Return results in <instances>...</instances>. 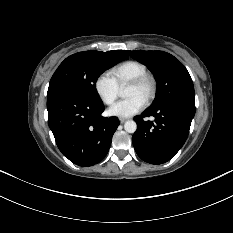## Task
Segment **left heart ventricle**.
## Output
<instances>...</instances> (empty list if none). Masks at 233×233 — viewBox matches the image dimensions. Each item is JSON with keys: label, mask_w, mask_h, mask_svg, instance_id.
<instances>
[{"label": "left heart ventricle", "mask_w": 233, "mask_h": 233, "mask_svg": "<svg viewBox=\"0 0 233 233\" xmlns=\"http://www.w3.org/2000/svg\"><path fill=\"white\" fill-rule=\"evenodd\" d=\"M147 94V87H134V86H127L124 92V96L130 97V96H139L143 100H145Z\"/></svg>", "instance_id": "b2bd125f"}]
</instances>
